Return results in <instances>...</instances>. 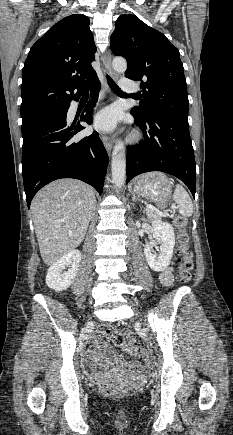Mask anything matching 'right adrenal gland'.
<instances>
[{"mask_svg": "<svg viewBox=\"0 0 233 435\" xmlns=\"http://www.w3.org/2000/svg\"><path fill=\"white\" fill-rule=\"evenodd\" d=\"M95 210H96V207H95V209H94V212H93L92 218L95 216Z\"/></svg>", "mask_w": 233, "mask_h": 435, "instance_id": "1", "label": "right adrenal gland"}]
</instances>
